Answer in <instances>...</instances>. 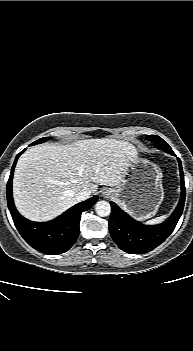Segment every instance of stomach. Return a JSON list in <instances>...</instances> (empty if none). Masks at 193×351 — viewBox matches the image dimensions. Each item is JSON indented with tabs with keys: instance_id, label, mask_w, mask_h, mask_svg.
Returning a JSON list of instances; mask_svg holds the SVG:
<instances>
[{
	"instance_id": "1",
	"label": "stomach",
	"mask_w": 193,
	"mask_h": 351,
	"mask_svg": "<svg viewBox=\"0 0 193 351\" xmlns=\"http://www.w3.org/2000/svg\"><path fill=\"white\" fill-rule=\"evenodd\" d=\"M115 200L134 217H153L163 201L162 171L154 163L132 156L123 181L112 189Z\"/></svg>"
}]
</instances>
